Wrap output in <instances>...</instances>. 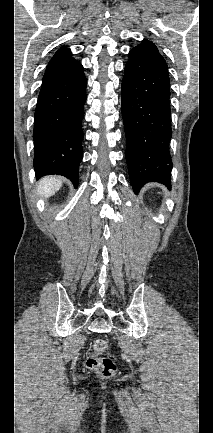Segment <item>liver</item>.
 Returning <instances> with one entry per match:
<instances>
[{
	"label": "liver",
	"mask_w": 213,
	"mask_h": 433,
	"mask_svg": "<svg viewBox=\"0 0 213 433\" xmlns=\"http://www.w3.org/2000/svg\"><path fill=\"white\" fill-rule=\"evenodd\" d=\"M62 186V178L47 176L42 178L38 184V192L42 197L49 198L54 195Z\"/></svg>",
	"instance_id": "liver-1"
}]
</instances>
